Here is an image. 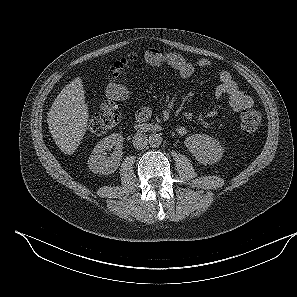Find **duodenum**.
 I'll use <instances>...</instances> for the list:
<instances>
[{"instance_id":"1","label":"duodenum","mask_w":297,"mask_h":297,"mask_svg":"<svg viewBox=\"0 0 297 297\" xmlns=\"http://www.w3.org/2000/svg\"><path fill=\"white\" fill-rule=\"evenodd\" d=\"M136 128L140 132H160L162 130V126L158 123H138Z\"/></svg>"}]
</instances>
